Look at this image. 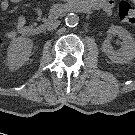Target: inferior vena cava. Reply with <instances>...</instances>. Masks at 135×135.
<instances>
[{
  "label": "inferior vena cava",
  "mask_w": 135,
  "mask_h": 135,
  "mask_svg": "<svg viewBox=\"0 0 135 135\" xmlns=\"http://www.w3.org/2000/svg\"><path fill=\"white\" fill-rule=\"evenodd\" d=\"M59 24H60V21H58V20L53 21V22H51V23H49V24L47 25V29H48V30L55 29V28L58 27Z\"/></svg>",
  "instance_id": "602c4592"
}]
</instances>
